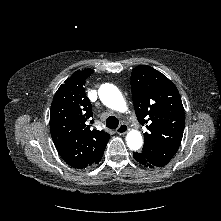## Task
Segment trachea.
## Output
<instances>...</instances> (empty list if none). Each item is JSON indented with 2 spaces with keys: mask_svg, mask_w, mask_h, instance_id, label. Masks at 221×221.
I'll return each instance as SVG.
<instances>
[{
  "mask_svg": "<svg viewBox=\"0 0 221 221\" xmlns=\"http://www.w3.org/2000/svg\"><path fill=\"white\" fill-rule=\"evenodd\" d=\"M119 125V120L115 116H109L106 120V127L116 129Z\"/></svg>",
  "mask_w": 221,
  "mask_h": 221,
  "instance_id": "3493384b",
  "label": "trachea"
}]
</instances>
